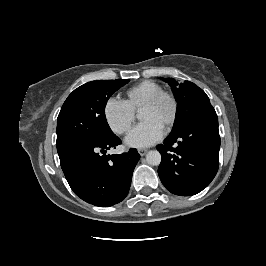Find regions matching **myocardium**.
I'll return each mask as SVG.
<instances>
[{"label":"myocardium","mask_w":266,"mask_h":266,"mask_svg":"<svg viewBox=\"0 0 266 266\" xmlns=\"http://www.w3.org/2000/svg\"><path fill=\"white\" fill-rule=\"evenodd\" d=\"M163 101H168L171 104V113L168 117V119L165 122V126L170 127L174 124L176 121L177 115H178V100L175 97L173 93L162 91L155 96H153L151 99H149L143 107L145 106H157L161 104Z\"/></svg>","instance_id":"1"}]
</instances>
